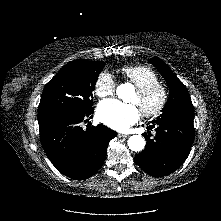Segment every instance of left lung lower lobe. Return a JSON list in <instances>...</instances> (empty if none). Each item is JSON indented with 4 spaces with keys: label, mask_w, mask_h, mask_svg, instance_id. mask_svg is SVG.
Wrapping results in <instances>:
<instances>
[{
    "label": "left lung lower lobe",
    "mask_w": 221,
    "mask_h": 221,
    "mask_svg": "<svg viewBox=\"0 0 221 221\" xmlns=\"http://www.w3.org/2000/svg\"><path fill=\"white\" fill-rule=\"evenodd\" d=\"M153 139L144 133L145 149L135 156L137 165L152 176L163 177L177 170L189 155L193 139V120H161Z\"/></svg>",
    "instance_id": "1"
}]
</instances>
